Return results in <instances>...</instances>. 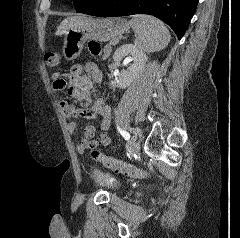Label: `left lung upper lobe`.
<instances>
[{
  "label": "left lung upper lobe",
  "instance_id": "1",
  "mask_svg": "<svg viewBox=\"0 0 240 238\" xmlns=\"http://www.w3.org/2000/svg\"><path fill=\"white\" fill-rule=\"evenodd\" d=\"M98 0H75L76 10L82 12L83 10L92 6Z\"/></svg>",
  "mask_w": 240,
  "mask_h": 238
}]
</instances>
